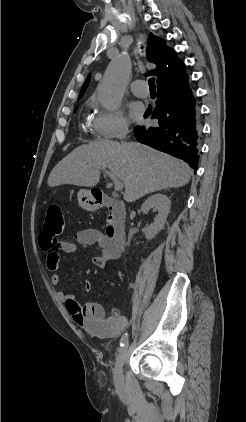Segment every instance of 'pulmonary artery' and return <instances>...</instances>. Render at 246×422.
I'll use <instances>...</instances> for the list:
<instances>
[{
    "instance_id": "e3ab8cb5",
    "label": "pulmonary artery",
    "mask_w": 246,
    "mask_h": 422,
    "mask_svg": "<svg viewBox=\"0 0 246 422\" xmlns=\"http://www.w3.org/2000/svg\"><path fill=\"white\" fill-rule=\"evenodd\" d=\"M130 88L132 92L138 97L145 98L149 95L148 86L143 80H134L131 82Z\"/></svg>"
}]
</instances>
